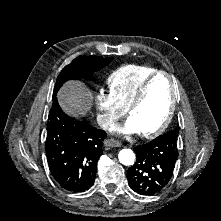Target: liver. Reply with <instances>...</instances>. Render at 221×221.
I'll return each mask as SVG.
<instances>
[{
  "label": "liver",
  "mask_w": 221,
  "mask_h": 221,
  "mask_svg": "<svg viewBox=\"0 0 221 221\" xmlns=\"http://www.w3.org/2000/svg\"><path fill=\"white\" fill-rule=\"evenodd\" d=\"M62 109L71 116H84L90 111L92 105V92L83 84L67 82L57 95Z\"/></svg>",
  "instance_id": "1"
}]
</instances>
